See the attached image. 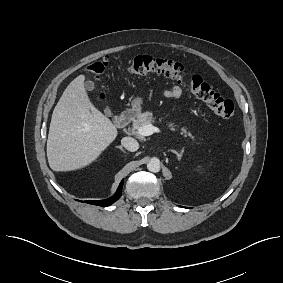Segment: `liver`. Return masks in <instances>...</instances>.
Listing matches in <instances>:
<instances>
[{
	"label": "liver",
	"mask_w": 283,
	"mask_h": 283,
	"mask_svg": "<svg viewBox=\"0 0 283 283\" xmlns=\"http://www.w3.org/2000/svg\"><path fill=\"white\" fill-rule=\"evenodd\" d=\"M84 80L85 75L76 77L54 108L47 140V158L53 171L88 166L118 135L111 120L92 104Z\"/></svg>",
	"instance_id": "obj_1"
}]
</instances>
